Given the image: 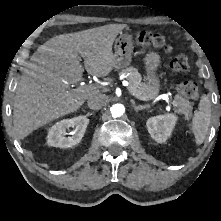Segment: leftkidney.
I'll return each instance as SVG.
<instances>
[{
    "mask_svg": "<svg viewBox=\"0 0 221 221\" xmlns=\"http://www.w3.org/2000/svg\"><path fill=\"white\" fill-rule=\"evenodd\" d=\"M176 121V115L165 114L149 118L146 125L151 137L158 143H164L170 137Z\"/></svg>",
    "mask_w": 221,
    "mask_h": 221,
    "instance_id": "obj_1",
    "label": "left kidney"
}]
</instances>
